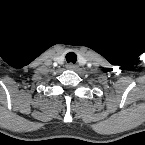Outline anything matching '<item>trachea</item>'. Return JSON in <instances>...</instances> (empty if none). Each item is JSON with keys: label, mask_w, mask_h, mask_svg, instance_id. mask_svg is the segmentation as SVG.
<instances>
[{"label": "trachea", "mask_w": 145, "mask_h": 145, "mask_svg": "<svg viewBox=\"0 0 145 145\" xmlns=\"http://www.w3.org/2000/svg\"><path fill=\"white\" fill-rule=\"evenodd\" d=\"M66 60H67L68 63L71 62V63L75 64L76 61H77V56H76L75 53L69 52V53L66 54Z\"/></svg>", "instance_id": "trachea-1"}]
</instances>
